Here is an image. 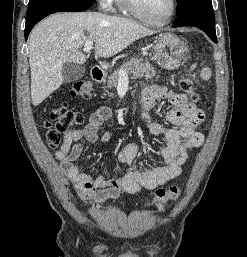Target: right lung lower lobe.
Returning a JSON list of instances; mask_svg holds the SVG:
<instances>
[{"label": "right lung lower lobe", "mask_w": 247, "mask_h": 257, "mask_svg": "<svg viewBox=\"0 0 247 257\" xmlns=\"http://www.w3.org/2000/svg\"><path fill=\"white\" fill-rule=\"evenodd\" d=\"M93 2L76 0H46L28 5L25 24V40L32 28L44 17L55 12H79L86 10Z\"/></svg>", "instance_id": "right-lung-lower-lobe-1"}]
</instances>
